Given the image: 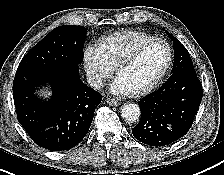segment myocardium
Wrapping results in <instances>:
<instances>
[{
  "instance_id": "myocardium-1",
  "label": "myocardium",
  "mask_w": 224,
  "mask_h": 175,
  "mask_svg": "<svg viewBox=\"0 0 224 175\" xmlns=\"http://www.w3.org/2000/svg\"><path fill=\"white\" fill-rule=\"evenodd\" d=\"M154 43H162L166 46L167 52H168L167 60L164 64L163 68L159 72V74L149 84H147L141 88H138L136 90L130 91V94H132L134 96L143 95V94H146V93L152 91L165 77V75L167 74V72L172 64V60H173V52H172V48H171L170 44L166 40L161 39V38H153L148 41H145V42L141 43L140 45H138L132 52H130L125 58H123L116 66V75L118 76L119 73L124 68L131 65L147 47H149L150 45H152Z\"/></svg>"
}]
</instances>
